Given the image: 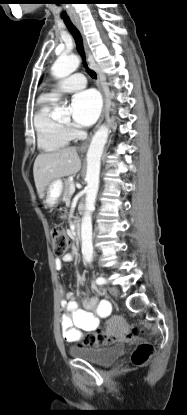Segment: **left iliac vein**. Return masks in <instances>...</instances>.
<instances>
[{"instance_id":"4c4485c4","label":"left iliac vein","mask_w":187,"mask_h":415,"mask_svg":"<svg viewBox=\"0 0 187 415\" xmlns=\"http://www.w3.org/2000/svg\"><path fill=\"white\" fill-rule=\"evenodd\" d=\"M109 292L113 295V296H118L119 292L118 289L116 287H109Z\"/></svg>"}]
</instances>
